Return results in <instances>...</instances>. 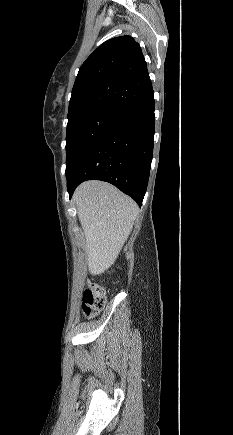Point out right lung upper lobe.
<instances>
[{
	"label": "right lung upper lobe",
	"instance_id": "cb5924a9",
	"mask_svg": "<svg viewBox=\"0 0 233 435\" xmlns=\"http://www.w3.org/2000/svg\"><path fill=\"white\" fill-rule=\"evenodd\" d=\"M151 87L139 44L130 36L112 38L101 44L80 67L68 119L96 109L124 112Z\"/></svg>",
	"mask_w": 233,
	"mask_h": 435
}]
</instances>
